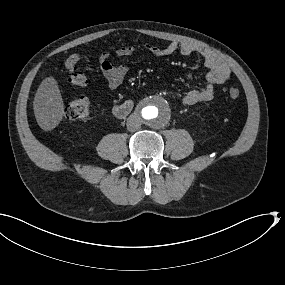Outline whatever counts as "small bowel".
<instances>
[{
  "label": "small bowel",
  "instance_id": "small-bowel-1",
  "mask_svg": "<svg viewBox=\"0 0 285 285\" xmlns=\"http://www.w3.org/2000/svg\"><path fill=\"white\" fill-rule=\"evenodd\" d=\"M145 50L155 57L168 56L180 53L184 56L198 55L202 58L204 65L208 69L206 83L202 87L188 91L182 98L185 106L211 101L215 95L217 86L226 82L229 77V68L226 63L210 49L188 42H171L164 47L145 44ZM138 51L134 45L119 47L115 53L118 56H131ZM110 52L103 51L99 56V66L107 86L111 90L119 88L126 78L128 69L124 65H115L110 62Z\"/></svg>",
  "mask_w": 285,
  "mask_h": 285
}]
</instances>
